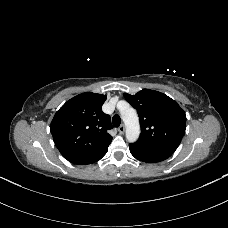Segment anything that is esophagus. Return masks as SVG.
Segmentation results:
<instances>
[{
  "instance_id": "34e87169",
  "label": "esophagus",
  "mask_w": 228,
  "mask_h": 228,
  "mask_svg": "<svg viewBox=\"0 0 228 228\" xmlns=\"http://www.w3.org/2000/svg\"><path fill=\"white\" fill-rule=\"evenodd\" d=\"M118 131L120 132V134H124V132H125L124 124L120 125V127L118 128Z\"/></svg>"
}]
</instances>
